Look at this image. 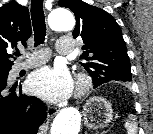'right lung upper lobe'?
I'll use <instances>...</instances> for the list:
<instances>
[{
  "label": "right lung upper lobe",
  "mask_w": 153,
  "mask_h": 134,
  "mask_svg": "<svg viewBox=\"0 0 153 134\" xmlns=\"http://www.w3.org/2000/svg\"><path fill=\"white\" fill-rule=\"evenodd\" d=\"M31 35L29 11L17 2H9L0 7V70H10L12 55L7 53L18 44L26 46Z\"/></svg>",
  "instance_id": "obj_1"
}]
</instances>
